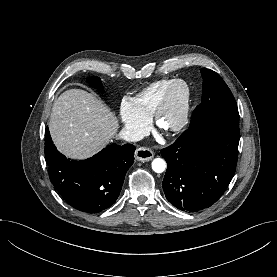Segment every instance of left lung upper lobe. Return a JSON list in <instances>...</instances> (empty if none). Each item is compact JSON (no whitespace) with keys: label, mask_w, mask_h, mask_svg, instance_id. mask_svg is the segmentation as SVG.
I'll return each instance as SVG.
<instances>
[{"label":"left lung upper lobe","mask_w":277,"mask_h":277,"mask_svg":"<svg viewBox=\"0 0 277 277\" xmlns=\"http://www.w3.org/2000/svg\"><path fill=\"white\" fill-rule=\"evenodd\" d=\"M203 77L202 102L191 119L190 127L197 122L224 118L238 121L239 113L233 94L224 80L214 71L201 69Z\"/></svg>","instance_id":"obj_1"}]
</instances>
